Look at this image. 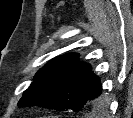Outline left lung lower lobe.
Listing matches in <instances>:
<instances>
[{"label":"left lung lower lobe","mask_w":133,"mask_h":118,"mask_svg":"<svg viewBox=\"0 0 133 118\" xmlns=\"http://www.w3.org/2000/svg\"><path fill=\"white\" fill-rule=\"evenodd\" d=\"M101 94V83L99 81L98 85L96 86V88L94 89L92 95L90 96L88 103H87V107H91L93 106L96 101H97V97Z\"/></svg>","instance_id":"obj_1"}]
</instances>
